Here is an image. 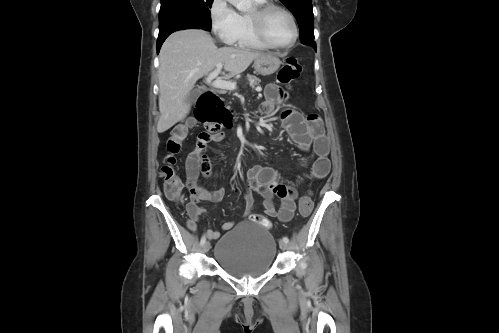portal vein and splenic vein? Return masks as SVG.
Masks as SVG:
<instances>
[{"instance_id": "obj_1", "label": "portal vein and splenic vein", "mask_w": 499, "mask_h": 333, "mask_svg": "<svg viewBox=\"0 0 499 333\" xmlns=\"http://www.w3.org/2000/svg\"><path fill=\"white\" fill-rule=\"evenodd\" d=\"M222 66H223L222 63H218L216 65V69L206 77V82L208 84H211L215 88L226 89V90H235L237 88V86H236V83H234V82L226 81V80H222V79L214 80L215 78H217V76L221 72ZM261 90H262V88H259V87L256 88V91H258V92H260Z\"/></svg>"}]
</instances>
